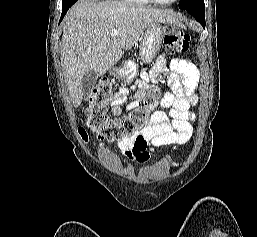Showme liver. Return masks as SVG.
<instances>
[{"label": "liver", "instance_id": "liver-1", "mask_svg": "<svg viewBox=\"0 0 257 237\" xmlns=\"http://www.w3.org/2000/svg\"><path fill=\"white\" fill-rule=\"evenodd\" d=\"M155 22L178 23L168 10L106 0H81L67 12L63 21V57L68 89L74 107L84 93L83 75L93 70L102 76L130 50L144 30ZM117 29L118 35L111 36Z\"/></svg>", "mask_w": 257, "mask_h": 237}]
</instances>
